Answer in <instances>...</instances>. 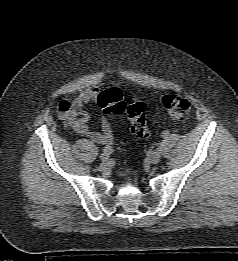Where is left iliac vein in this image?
Returning <instances> with one entry per match:
<instances>
[{
  "instance_id": "1",
  "label": "left iliac vein",
  "mask_w": 238,
  "mask_h": 261,
  "mask_svg": "<svg viewBox=\"0 0 238 261\" xmlns=\"http://www.w3.org/2000/svg\"><path fill=\"white\" fill-rule=\"evenodd\" d=\"M161 159V150L157 149L148 156L150 164H157Z\"/></svg>"
}]
</instances>
